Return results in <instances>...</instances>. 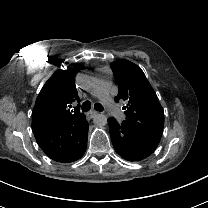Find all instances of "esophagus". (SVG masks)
Here are the masks:
<instances>
[{
	"instance_id": "34e87169",
	"label": "esophagus",
	"mask_w": 208,
	"mask_h": 208,
	"mask_svg": "<svg viewBox=\"0 0 208 208\" xmlns=\"http://www.w3.org/2000/svg\"><path fill=\"white\" fill-rule=\"evenodd\" d=\"M96 115H97V111L92 110V111L87 113L86 118L88 120H90V119L94 118Z\"/></svg>"
}]
</instances>
